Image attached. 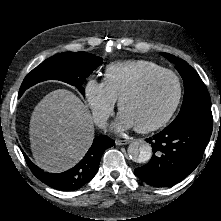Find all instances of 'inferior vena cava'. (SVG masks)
<instances>
[{"mask_svg":"<svg viewBox=\"0 0 221 221\" xmlns=\"http://www.w3.org/2000/svg\"><path fill=\"white\" fill-rule=\"evenodd\" d=\"M105 123H106V118L105 117L96 120V124L100 128H104L105 127Z\"/></svg>","mask_w":221,"mask_h":221,"instance_id":"inferior-vena-cava-1","label":"inferior vena cava"}]
</instances>
